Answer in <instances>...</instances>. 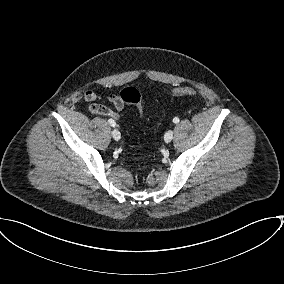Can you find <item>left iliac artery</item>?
<instances>
[{
	"mask_svg": "<svg viewBox=\"0 0 284 284\" xmlns=\"http://www.w3.org/2000/svg\"><path fill=\"white\" fill-rule=\"evenodd\" d=\"M173 122H174V123H178V122H179V118H178V117H175V118L173 119Z\"/></svg>",
	"mask_w": 284,
	"mask_h": 284,
	"instance_id": "1",
	"label": "left iliac artery"
}]
</instances>
